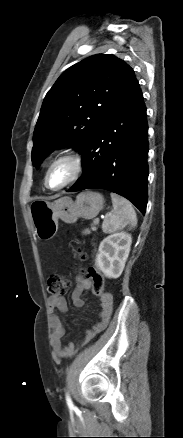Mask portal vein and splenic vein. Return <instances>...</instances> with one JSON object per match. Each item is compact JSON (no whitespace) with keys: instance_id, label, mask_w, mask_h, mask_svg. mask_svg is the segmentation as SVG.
Returning a JSON list of instances; mask_svg holds the SVG:
<instances>
[{"instance_id":"18ae733b","label":"portal vein and splenic vein","mask_w":183,"mask_h":438,"mask_svg":"<svg viewBox=\"0 0 183 438\" xmlns=\"http://www.w3.org/2000/svg\"><path fill=\"white\" fill-rule=\"evenodd\" d=\"M98 223H99V219L97 218V219H95Z\"/></svg>"}]
</instances>
